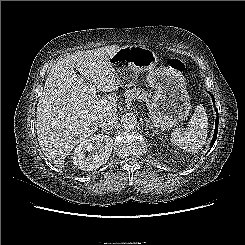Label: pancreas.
<instances>
[{
  "label": "pancreas",
  "instance_id": "1",
  "mask_svg": "<svg viewBox=\"0 0 245 245\" xmlns=\"http://www.w3.org/2000/svg\"><path fill=\"white\" fill-rule=\"evenodd\" d=\"M123 96L126 97L127 99L137 98L145 101L147 104L150 103V99H149L150 94L142 88L127 89L123 94Z\"/></svg>",
  "mask_w": 245,
  "mask_h": 245
}]
</instances>
